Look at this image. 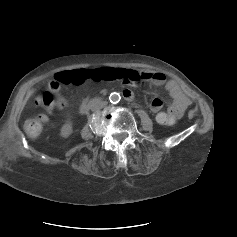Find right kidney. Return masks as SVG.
Wrapping results in <instances>:
<instances>
[{
	"label": "right kidney",
	"mask_w": 237,
	"mask_h": 237,
	"mask_svg": "<svg viewBox=\"0 0 237 237\" xmlns=\"http://www.w3.org/2000/svg\"><path fill=\"white\" fill-rule=\"evenodd\" d=\"M72 132H73L72 123L67 122L62 126L60 130V136L62 138H68L72 134Z\"/></svg>",
	"instance_id": "1"
}]
</instances>
